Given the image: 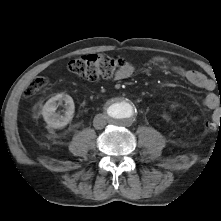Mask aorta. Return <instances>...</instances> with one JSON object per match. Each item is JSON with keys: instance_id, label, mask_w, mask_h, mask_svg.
Returning a JSON list of instances; mask_svg holds the SVG:
<instances>
[{"instance_id": "1", "label": "aorta", "mask_w": 221, "mask_h": 221, "mask_svg": "<svg viewBox=\"0 0 221 221\" xmlns=\"http://www.w3.org/2000/svg\"><path fill=\"white\" fill-rule=\"evenodd\" d=\"M136 113V106L126 98L116 99L107 107L108 119L117 125L130 124L134 120Z\"/></svg>"}]
</instances>
